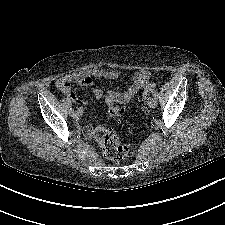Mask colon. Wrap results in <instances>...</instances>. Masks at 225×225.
Listing matches in <instances>:
<instances>
[{
  "mask_svg": "<svg viewBox=\"0 0 225 225\" xmlns=\"http://www.w3.org/2000/svg\"><path fill=\"white\" fill-rule=\"evenodd\" d=\"M156 90L155 84H150L145 87L141 94L143 107L146 109L150 94ZM108 114L111 118L120 120L124 114V109L111 106L108 109ZM92 137L101 147L104 156L111 161H122L130 155V145L123 143L119 137L107 125H98L92 131Z\"/></svg>",
  "mask_w": 225,
  "mask_h": 225,
  "instance_id": "1",
  "label": "colon"
}]
</instances>
